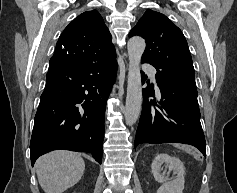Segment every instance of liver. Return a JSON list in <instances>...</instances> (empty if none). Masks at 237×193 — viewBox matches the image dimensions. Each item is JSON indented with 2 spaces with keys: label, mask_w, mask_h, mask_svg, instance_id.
Instances as JSON below:
<instances>
[{
  "label": "liver",
  "mask_w": 237,
  "mask_h": 193,
  "mask_svg": "<svg viewBox=\"0 0 237 193\" xmlns=\"http://www.w3.org/2000/svg\"><path fill=\"white\" fill-rule=\"evenodd\" d=\"M35 168L45 193H62L80 181L85 162L80 154L57 150L39 157Z\"/></svg>",
  "instance_id": "liver-1"
}]
</instances>
